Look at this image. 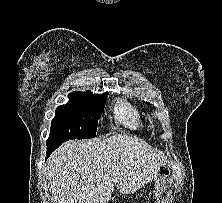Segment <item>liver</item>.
<instances>
[{
	"label": "liver",
	"instance_id": "1",
	"mask_svg": "<svg viewBox=\"0 0 222 203\" xmlns=\"http://www.w3.org/2000/svg\"><path fill=\"white\" fill-rule=\"evenodd\" d=\"M164 160L147 143L126 134L70 140L47 161L54 203H107L116 187L131 193L156 178Z\"/></svg>",
	"mask_w": 222,
	"mask_h": 203
}]
</instances>
